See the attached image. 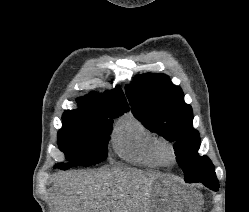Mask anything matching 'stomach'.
I'll list each match as a JSON object with an SVG mask.
<instances>
[{"instance_id": "0dacf381", "label": "stomach", "mask_w": 249, "mask_h": 212, "mask_svg": "<svg viewBox=\"0 0 249 212\" xmlns=\"http://www.w3.org/2000/svg\"><path fill=\"white\" fill-rule=\"evenodd\" d=\"M153 212H201L203 196L177 180V175H158L152 188Z\"/></svg>"}]
</instances>
